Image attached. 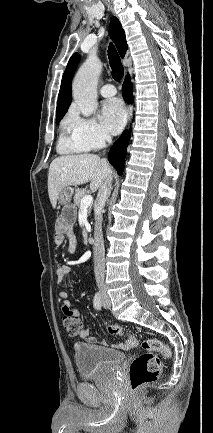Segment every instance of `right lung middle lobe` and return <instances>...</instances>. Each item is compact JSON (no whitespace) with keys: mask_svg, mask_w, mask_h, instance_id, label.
Segmentation results:
<instances>
[{"mask_svg":"<svg viewBox=\"0 0 213 433\" xmlns=\"http://www.w3.org/2000/svg\"><path fill=\"white\" fill-rule=\"evenodd\" d=\"M60 122V120H56V123L58 124Z\"/></svg>","mask_w":213,"mask_h":433,"instance_id":"obj_1","label":"right lung middle lobe"}]
</instances>
